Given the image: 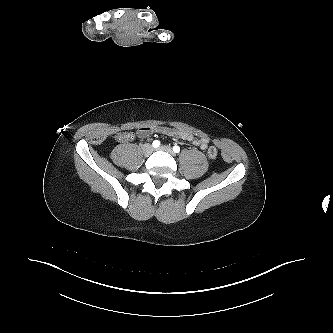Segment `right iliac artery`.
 Wrapping results in <instances>:
<instances>
[{"label": "right iliac artery", "mask_w": 333, "mask_h": 333, "mask_svg": "<svg viewBox=\"0 0 333 333\" xmlns=\"http://www.w3.org/2000/svg\"><path fill=\"white\" fill-rule=\"evenodd\" d=\"M152 145H153L154 148H157V147L160 146V141L155 140V141H153Z\"/></svg>", "instance_id": "1"}]
</instances>
